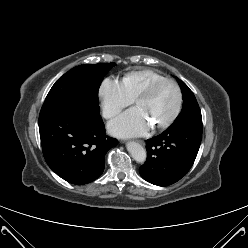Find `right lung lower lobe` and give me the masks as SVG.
<instances>
[{
  "label": "right lung lower lobe",
  "instance_id": "right-lung-lower-lobe-1",
  "mask_svg": "<svg viewBox=\"0 0 248 248\" xmlns=\"http://www.w3.org/2000/svg\"><path fill=\"white\" fill-rule=\"evenodd\" d=\"M39 131L49 167L76 185L100 177L105 154L118 144L105 135L99 104L88 100L39 118Z\"/></svg>",
  "mask_w": 248,
  "mask_h": 248
}]
</instances>
